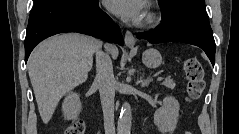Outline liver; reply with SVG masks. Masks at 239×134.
<instances>
[{"label":"liver","mask_w":239,"mask_h":134,"mask_svg":"<svg viewBox=\"0 0 239 134\" xmlns=\"http://www.w3.org/2000/svg\"><path fill=\"white\" fill-rule=\"evenodd\" d=\"M102 42L76 33L62 34L41 42L28 59V72L42 121L47 124L60 99L85 82L93 56ZM113 59L118 48L108 46Z\"/></svg>","instance_id":"obj_1"}]
</instances>
